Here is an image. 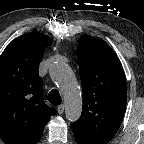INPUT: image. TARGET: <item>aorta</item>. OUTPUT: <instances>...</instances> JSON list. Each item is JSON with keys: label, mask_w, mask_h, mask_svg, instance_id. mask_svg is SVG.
Wrapping results in <instances>:
<instances>
[{"label": "aorta", "mask_w": 144, "mask_h": 144, "mask_svg": "<svg viewBox=\"0 0 144 144\" xmlns=\"http://www.w3.org/2000/svg\"><path fill=\"white\" fill-rule=\"evenodd\" d=\"M49 73L63 94L67 120L70 122L78 120L82 110V98L72 69L64 62H56L50 67Z\"/></svg>", "instance_id": "obj_1"}]
</instances>
